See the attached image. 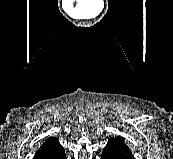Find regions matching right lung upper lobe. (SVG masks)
<instances>
[{
	"mask_svg": "<svg viewBox=\"0 0 173 159\" xmlns=\"http://www.w3.org/2000/svg\"><path fill=\"white\" fill-rule=\"evenodd\" d=\"M62 149L63 147L60 145L58 139L50 137L41 145L33 159H42L43 157L56 153Z\"/></svg>",
	"mask_w": 173,
	"mask_h": 159,
	"instance_id": "right-lung-upper-lobe-1",
	"label": "right lung upper lobe"
}]
</instances>
